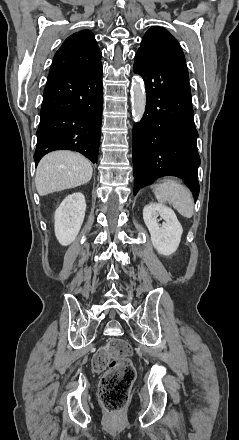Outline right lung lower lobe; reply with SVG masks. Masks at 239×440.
<instances>
[{
    "label": "right lung lower lobe",
    "mask_w": 239,
    "mask_h": 440,
    "mask_svg": "<svg viewBox=\"0 0 239 440\" xmlns=\"http://www.w3.org/2000/svg\"><path fill=\"white\" fill-rule=\"evenodd\" d=\"M102 66L89 73L49 74L37 130L36 165L47 153L68 149L97 163L102 120Z\"/></svg>",
    "instance_id": "obj_1"
}]
</instances>
